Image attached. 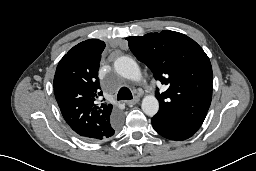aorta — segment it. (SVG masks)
<instances>
[{
  "mask_svg": "<svg viewBox=\"0 0 256 171\" xmlns=\"http://www.w3.org/2000/svg\"><path fill=\"white\" fill-rule=\"evenodd\" d=\"M116 72L122 77L138 81L141 79V70L135 60L128 56H121L114 62ZM141 108L148 116H154L159 109V102L154 95H147L143 98Z\"/></svg>",
  "mask_w": 256,
  "mask_h": 171,
  "instance_id": "762f6f07",
  "label": "aorta"
}]
</instances>
